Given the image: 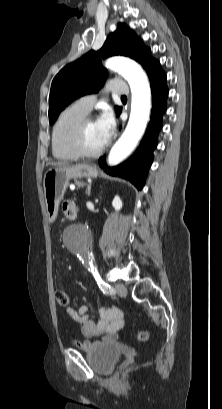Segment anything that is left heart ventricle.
Segmentation results:
<instances>
[{
  "instance_id": "1",
  "label": "left heart ventricle",
  "mask_w": 222,
  "mask_h": 409,
  "mask_svg": "<svg viewBox=\"0 0 222 409\" xmlns=\"http://www.w3.org/2000/svg\"><path fill=\"white\" fill-rule=\"evenodd\" d=\"M83 144L88 151H96L104 145L95 121H91L86 125L83 134Z\"/></svg>"
}]
</instances>
